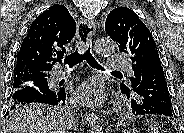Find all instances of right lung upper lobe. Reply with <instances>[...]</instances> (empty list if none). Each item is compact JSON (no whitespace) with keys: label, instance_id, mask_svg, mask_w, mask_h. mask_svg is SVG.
Listing matches in <instances>:
<instances>
[{"label":"right lung upper lobe","instance_id":"right-lung-upper-lobe-1","mask_svg":"<svg viewBox=\"0 0 184 133\" xmlns=\"http://www.w3.org/2000/svg\"><path fill=\"white\" fill-rule=\"evenodd\" d=\"M76 23L64 5L55 4L30 26L16 57L14 75H46L63 58L75 35Z\"/></svg>","mask_w":184,"mask_h":133}]
</instances>
